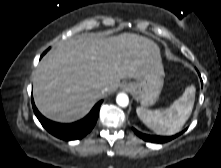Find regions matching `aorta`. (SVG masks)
Segmentation results:
<instances>
[{
    "label": "aorta",
    "instance_id": "aorta-1",
    "mask_svg": "<svg viewBox=\"0 0 221 168\" xmlns=\"http://www.w3.org/2000/svg\"><path fill=\"white\" fill-rule=\"evenodd\" d=\"M116 102L121 107H126L129 104V98L125 93H119L116 97Z\"/></svg>",
    "mask_w": 221,
    "mask_h": 168
}]
</instances>
